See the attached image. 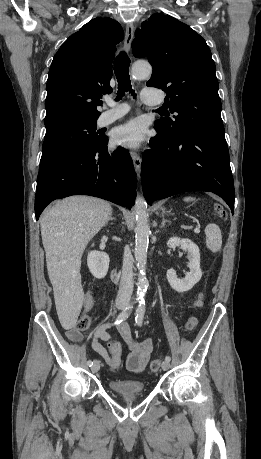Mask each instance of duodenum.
Returning a JSON list of instances; mask_svg holds the SVG:
<instances>
[{
    "label": "duodenum",
    "mask_w": 261,
    "mask_h": 459,
    "mask_svg": "<svg viewBox=\"0 0 261 459\" xmlns=\"http://www.w3.org/2000/svg\"><path fill=\"white\" fill-rule=\"evenodd\" d=\"M112 275L117 276V270H113Z\"/></svg>",
    "instance_id": "obj_1"
}]
</instances>
